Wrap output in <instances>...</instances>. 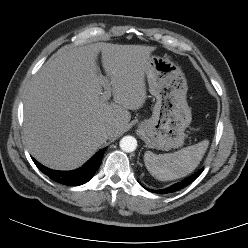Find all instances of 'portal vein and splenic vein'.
<instances>
[{
    "label": "portal vein and splenic vein",
    "instance_id": "portal-vein-and-splenic-vein-1",
    "mask_svg": "<svg viewBox=\"0 0 248 248\" xmlns=\"http://www.w3.org/2000/svg\"><path fill=\"white\" fill-rule=\"evenodd\" d=\"M105 90L106 91L103 93V96L106 100H108L111 97V87L109 85H106Z\"/></svg>",
    "mask_w": 248,
    "mask_h": 248
}]
</instances>
